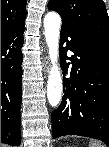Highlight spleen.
I'll return each instance as SVG.
<instances>
[{"label":"spleen","mask_w":109,"mask_h":147,"mask_svg":"<svg viewBox=\"0 0 109 147\" xmlns=\"http://www.w3.org/2000/svg\"><path fill=\"white\" fill-rule=\"evenodd\" d=\"M89 147H105L100 141H90Z\"/></svg>","instance_id":"3e777b00"}]
</instances>
